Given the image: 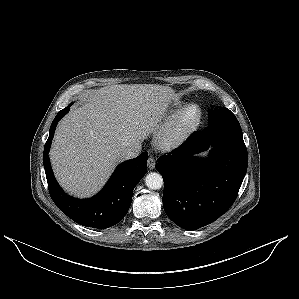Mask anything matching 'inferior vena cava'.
<instances>
[{"label": "inferior vena cava", "mask_w": 299, "mask_h": 299, "mask_svg": "<svg viewBox=\"0 0 299 299\" xmlns=\"http://www.w3.org/2000/svg\"><path fill=\"white\" fill-rule=\"evenodd\" d=\"M140 152H141V144L136 142L124 148L120 153V157L122 160H127V159L137 157Z\"/></svg>", "instance_id": "1"}]
</instances>
